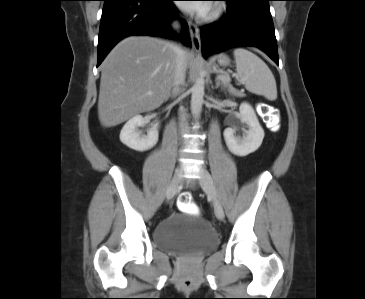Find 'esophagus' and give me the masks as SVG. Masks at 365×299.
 <instances>
[{"mask_svg":"<svg viewBox=\"0 0 365 299\" xmlns=\"http://www.w3.org/2000/svg\"><path fill=\"white\" fill-rule=\"evenodd\" d=\"M192 39L194 49L199 50L201 48V40L199 35V28L191 20L187 21Z\"/></svg>","mask_w":365,"mask_h":299,"instance_id":"esophagus-1","label":"esophagus"}]
</instances>
